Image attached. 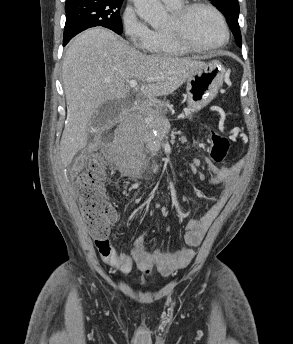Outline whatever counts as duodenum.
Wrapping results in <instances>:
<instances>
[{
	"mask_svg": "<svg viewBox=\"0 0 293 344\" xmlns=\"http://www.w3.org/2000/svg\"><path fill=\"white\" fill-rule=\"evenodd\" d=\"M131 121V116L129 114H124L121 116L120 120H119V124L122 125L126 122Z\"/></svg>",
	"mask_w": 293,
	"mask_h": 344,
	"instance_id": "duodenum-1",
	"label": "duodenum"
}]
</instances>
